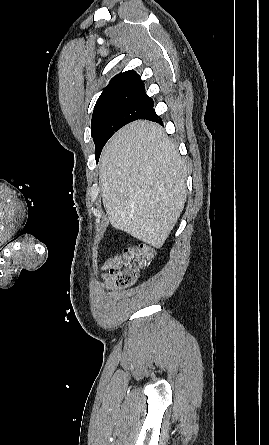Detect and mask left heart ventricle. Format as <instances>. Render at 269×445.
<instances>
[{
	"instance_id": "1",
	"label": "left heart ventricle",
	"mask_w": 269,
	"mask_h": 445,
	"mask_svg": "<svg viewBox=\"0 0 269 445\" xmlns=\"http://www.w3.org/2000/svg\"><path fill=\"white\" fill-rule=\"evenodd\" d=\"M1 234H3L2 232H0V237H1Z\"/></svg>"
}]
</instances>
